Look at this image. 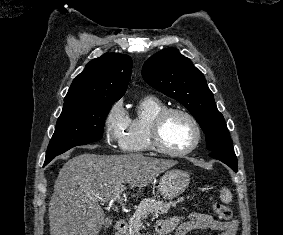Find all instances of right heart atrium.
Returning <instances> with one entry per match:
<instances>
[{"instance_id": "obj_1", "label": "right heart atrium", "mask_w": 283, "mask_h": 235, "mask_svg": "<svg viewBox=\"0 0 283 235\" xmlns=\"http://www.w3.org/2000/svg\"><path fill=\"white\" fill-rule=\"evenodd\" d=\"M127 121L128 117L122 102H116L105 119V135L108 143L113 145L121 144V137L127 126Z\"/></svg>"}]
</instances>
